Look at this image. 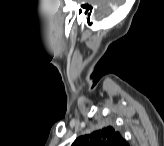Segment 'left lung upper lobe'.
Returning a JSON list of instances; mask_svg holds the SVG:
<instances>
[{
  "instance_id": "obj_1",
  "label": "left lung upper lobe",
  "mask_w": 164,
  "mask_h": 146,
  "mask_svg": "<svg viewBox=\"0 0 164 146\" xmlns=\"http://www.w3.org/2000/svg\"><path fill=\"white\" fill-rule=\"evenodd\" d=\"M72 146H128L121 134L112 127H105L91 134L80 136Z\"/></svg>"
}]
</instances>
